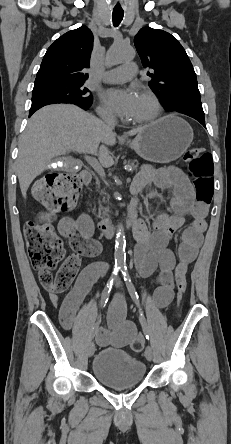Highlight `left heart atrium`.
Instances as JSON below:
<instances>
[{
	"mask_svg": "<svg viewBox=\"0 0 231 444\" xmlns=\"http://www.w3.org/2000/svg\"><path fill=\"white\" fill-rule=\"evenodd\" d=\"M137 94L132 90L112 88L102 94L106 105L119 116L130 118L137 102Z\"/></svg>",
	"mask_w": 231,
	"mask_h": 444,
	"instance_id": "left-heart-atrium-1",
	"label": "left heart atrium"
}]
</instances>
